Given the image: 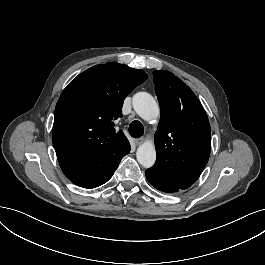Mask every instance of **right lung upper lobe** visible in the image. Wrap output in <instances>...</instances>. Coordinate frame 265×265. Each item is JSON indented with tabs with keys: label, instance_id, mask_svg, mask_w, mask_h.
Returning a JSON list of instances; mask_svg holds the SVG:
<instances>
[{
	"label": "right lung upper lobe",
	"instance_id": "obj_1",
	"mask_svg": "<svg viewBox=\"0 0 265 265\" xmlns=\"http://www.w3.org/2000/svg\"><path fill=\"white\" fill-rule=\"evenodd\" d=\"M127 65L109 62L79 74L62 92L55 108L52 141L56 154H101L128 143L114 121L122 117L126 96L147 79Z\"/></svg>",
	"mask_w": 265,
	"mask_h": 265
}]
</instances>
